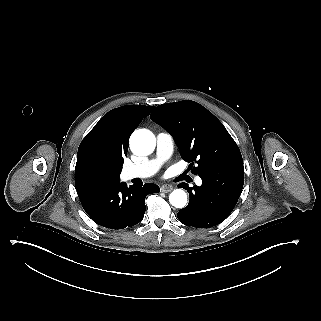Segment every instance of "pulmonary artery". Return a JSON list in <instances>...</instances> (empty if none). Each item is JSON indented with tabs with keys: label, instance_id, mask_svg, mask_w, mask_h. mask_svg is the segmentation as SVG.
Masks as SVG:
<instances>
[{
	"label": "pulmonary artery",
	"instance_id": "pulmonary-artery-1",
	"mask_svg": "<svg viewBox=\"0 0 321 321\" xmlns=\"http://www.w3.org/2000/svg\"><path fill=\"white\" fill-rule=\"evenodd\" d=\"M174 141L170 133L162 131L157 135V155L154 159H144L138 163L126 166L121 171V179L148 178L153 176L160 168L161 164L173 153ZM197 185L202 181L199 177L195 179Z\"/></svg>",
	"mask_w": 321,
	"mask_h": 321
}]
</instances>
